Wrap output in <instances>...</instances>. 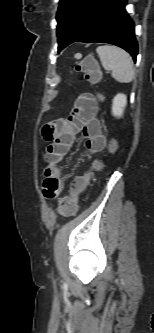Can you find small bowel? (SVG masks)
<instances>
[{
  "label": "small bowel",
  "instance_id": "obj_1",
  "mask_svg": "<svg viewBox=\"0 0 154 333\" xmlns=\"http://www.w3.org/2000/svg\"><path fill=\"white\" fill-rule=\"evenodd\" d=\"M97 113L96 99L90 93H83L77 97L67 118L51 121L43 127L42 135L49 142L45 153L46 166L42 187L47 199L58 197L63 189L64 174L61 163L79 133L87 139L88 155L97 154L106 147L107 136Z\"/></svg>",
  "mask_w": 154,
  "mask_h": 333
}]
</instances>
